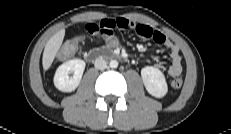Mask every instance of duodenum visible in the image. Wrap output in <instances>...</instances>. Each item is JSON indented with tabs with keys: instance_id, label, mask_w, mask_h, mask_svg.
Listing matches in <instances>:
<instances>
[{
	"instance_id": "1",
	"label": "duodenum",
	"mask_w": 231,
	"mask_h": 134,
	"mask_svg": "<svg viewBox=\"0 0 231 134\" xmlns=\"http://www.w3.org/2000/svg\"><path fill=\"white\" fill-rule=\"evenodd\" d=\"M102 58L119 59L122 58V55L107 48L93 49L86 55V59L92 62Z\"/></svg>"
}]
</instances>
